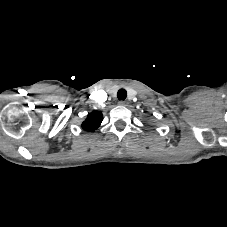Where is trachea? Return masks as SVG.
<instances>
[{
	"label": "trachea",
	"mask_w": 227,
	"mask_h": 227,
	"mask_svg": "<svg viewBox=\"0 0 227 227\" xmlns=\"http://www.w3.org/2000/svg\"><path fill=\"white\" fill-rule=\"evenodd\" d=\"M117 97H118V99L119 100H125L126 99V97H127V92H126V90L125 89H120L119 91H118V93H117Z\"/></svg>",
	"instance_id": "3493384b"
}]
</instances>
